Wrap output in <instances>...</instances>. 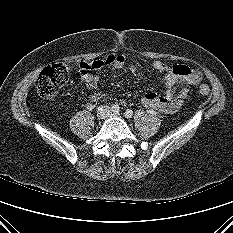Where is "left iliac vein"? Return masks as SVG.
Here are the masks:
<instances>
[{"label": "left iliac vein", "instance_id": "left-iliac-vein-1", "mask_svg": "<svg viewBox=\"0 0 233 233\" xmlns=\"http://www.w3.org/2000/svg\"><path fill=\"white\" fill-rule=\"evenodd\" d=\"M109 116H111V117H120V114H119V113L111 112V113L109 114Z\"/></svg>", "mask_w": 233, "mask_h": 233}]
</instances>
